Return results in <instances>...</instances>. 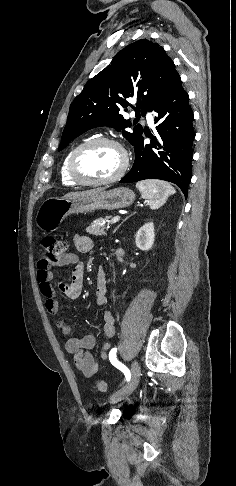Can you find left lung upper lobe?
Here are the masks:
<instances>
[{
    "label": "left lung upper lobe",
    "mask_w": 236,
    "mask_h": 486,
    "mask_svg": "<svg viewBox=\"0 0 236 486\" xmlns=\"http://www.w3.org/2000/svg\"><path fill=\"white\" fill-rule=\"evenodd\" d=\"M179 77L174 62L163 47L147 39L138 40L112 59L111 64L90 79L69 109V117L58 151L74 138L98 126H110L117 131L131 127L120 110L129 106L127 99L137 97V119L133 133L123 136L134 146L143 133L139 121L161 92Z\"/></svg>",
    "instance_id": "obj_1"
}]
</instances>
